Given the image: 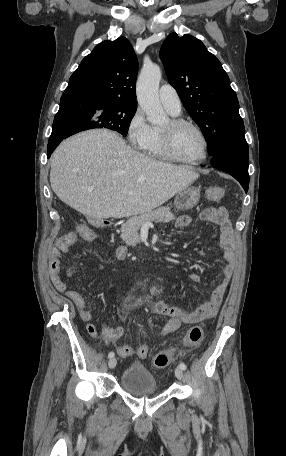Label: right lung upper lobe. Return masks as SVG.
Here are the masks:
<instances>
[{"instance_id":"cb5924a9","label":"right lung upper lobe","mask_w":286,"mask_h":456,"mask_svg":"<svg viewBox=\"0 0 286 456\" xmlns=\"http://www.w3.org/2000/svg\"><path fill=\"white\" fill-rule=\"evenodd\" d=\"M137 71V57L130 42L125 37L106 40L81 61L63 94L136 106Z\"/></svg>"}]
</instances>
